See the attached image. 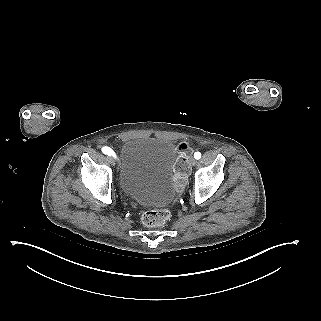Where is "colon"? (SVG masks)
Returning a JSON list of instances; mask_svg holds the SVG:
<instances>
[{"instance_id": "1", "label": "colon", "mask_w": 321, "mask_h": 321, "mask_svg": "<svg viewBox=\"0 0 321 321\" xmlns=\"http://www.w3.org/2000/svg\"><path fill=\"white\" fill-rule=\"evenodd\" d=\"M178 159L175 166V172L177 176V183L182 186L185 183L186 177L190 171L188 158L190 156V150L186 143H180L178 145ZM170 217V212L167 209H154L143 213L142 222L149 227H158L167 222Z\"/></svg>"}]
</instances>
